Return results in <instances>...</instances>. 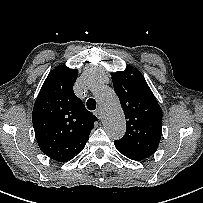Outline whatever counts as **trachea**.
Masks as SVG:
<instances>
[{
    "mask_svg": "<svg viewBox=\"0 0 203 203\" xmlns=\"http://www.w3.org/2000/svg\"><path fill=\"white\" fill-rule=\"evenodd\" d=\"M87 108L89 110H95L96 109V101L93 98H89L87 100Z\"/></svg>",
    "mask_w": 203,
    "mask_h": 203,
    "instance_id": "3493384b",
    "label": "trachea"
}]
</instances>
